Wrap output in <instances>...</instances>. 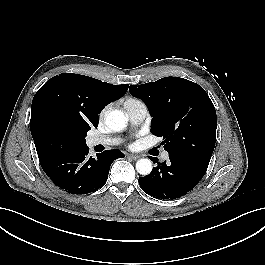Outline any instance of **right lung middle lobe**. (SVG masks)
I'll return each instance as SVG.
<instances>
[{
    "label": "right lung middle lobe",
    "instance_id": "1",
    "mask_svg": "<svg viewBox=\"0 0 265 265\" xmlns=\"http://www.w3.org/2000/svg\"><path fill=\"white\" fill-rule=\"evenodd\" d=\"M86 133H78L52 114L38 116L31 128L39 160L86 146Z\"/></svg>",
    "mask_w": 265,
    "mask_h": 265
}]
</instances>
